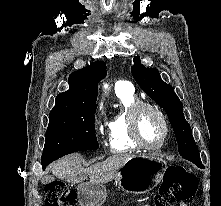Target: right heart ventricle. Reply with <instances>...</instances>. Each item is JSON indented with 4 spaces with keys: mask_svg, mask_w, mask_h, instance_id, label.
Listing matches in <instances>:
<instances>
[{
    "mask_svg": "<svg viewBox=\"0 0 221 206\" xmlns=\"http://www.w3.org/2000/svg\"><path fill=\"white\" fill-rule=\"evenodd\" d=\"M116 96L122 110L107 122L110 150L114 153L134 151L139 147L133 142L129 130L128 116L131 106L137 102L133 91H118Z\"/></svg>",
    "mask_w": 221,
    "mask_h": 206,
    "instance_id": "1",
    "label": "right heart ventricle"
}]
</instances>
